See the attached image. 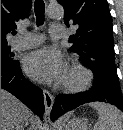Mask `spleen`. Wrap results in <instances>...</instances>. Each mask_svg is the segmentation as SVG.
<instances>
[{"label": "spleen", "instance_id": "3e777b00", "mask_svg": "<svg viewBox=\"0 0 123 130\" xmlns=\"http://www.w3.org/2000/svg\"><path fill=\"white\" fill-rule=\"evenodd\" d=\"M89 105L98 113V121L93 130H123V115L117 108L101 102H94Z\"/></svg>", "mask_w": 123, "mask_h": 130}]
</instances>
